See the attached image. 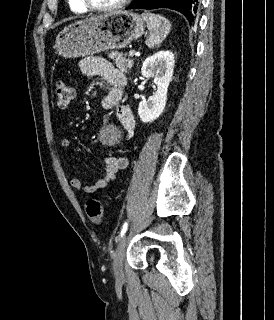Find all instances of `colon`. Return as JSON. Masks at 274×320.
<instances>
[{
  "label": "colon",
  "instance_id": "colon-1",
  "mask_svg": "<svg viewBox=\"0 0 274 320\" xmlns=\"http://www.w3.org/2000/svg\"><path fill=\"white\" fill-rule=\"evenodd\" d=\"M54 97L58 108L65 109L74 97V88L65 81H57L54 85ZM85 211L94 223H101L104 219L103 204L96 199H89L85 203Z\"/></svg>",
  "mask_w": 274,
  "mask_h": 320
}]
</instances>
